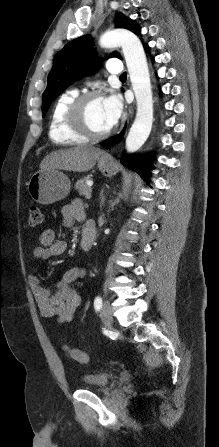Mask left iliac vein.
I'll list each match as a JSON object with an SVG mask.
<instances>
[{
    "instance_id": "4c4485c4",
    "label": "left iliac vein",
    "mask_w": 219,
    "mask_h": 447,
    "mask_svg": "<svg viewBox=\"0 0 219 447\" xmlns=\"http://www.w3.org/2000/svg\"><path fill=\"white\" fill-rule=\"evenodd\" d=\"M101 320L106 327L108 328L112 327L113 325L112 310L110 305L107 303H104L101 308Z\"/></svg>"
}]
</instances>
